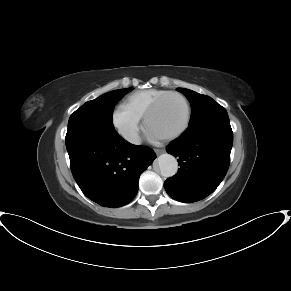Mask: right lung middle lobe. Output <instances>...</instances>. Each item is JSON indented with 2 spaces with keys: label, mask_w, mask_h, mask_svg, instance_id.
I'll return each mask as SVG.
<instances>
[{
  "label": "right lung middle lobe",
  "mask_w": 291,
  "mask_h": 291,
  "mask_svg": "<svg viewBox=\"0 0 291 291\" xmlns=\"http://www.w3.org/2000/svg\"><path fill=\"white\" fill-rule=\"evenodd\" d=\"M132 88L108 92L86 102L69 118L68 127L74 125H92L114 129L112 122L113 109L120 98Z\"/></svg>",
  "instance_id": "right-lung-middle-lobe-1"
}]
</instances>
